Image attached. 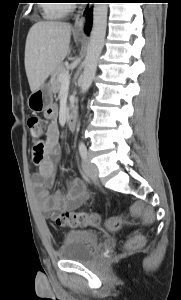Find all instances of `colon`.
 Listing matches in <instances>:
<instances>
[{
    "label": "colon",
    "instance_id": "1",
    "mask_svg": "<svg viewBox=\"0 0 181 300\" xmlns=\"http://www.w3.org/2000/svg\"><path fill=\"white\" fill-rule=\"evenodd\" d=\"M27 127L33 141L34 151H42L44 148L43 136L46 130L44 122L39 117L33 116L27 120ZM56 222L63 227H97L101 224V216L98 213H64L58 216ZM124 222V219L121 217L109 218L106 222V226L110 230H117ZM142 242V236L135 234L127 239L125 248L127 250L137 248Z\"/></svg>",
    "mask_w": 181,
    "mask_h": 300
}]
</instances>
